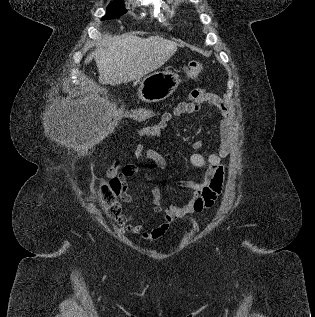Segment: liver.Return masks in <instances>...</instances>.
<instances>
[{
	"label": "liver",
	"instance_id": "6515ba94",
	"mask_svg": "<svg viewBox=\"0 0 315 317\" xmlns=\"http://www.w3.org/2000/svg\"><path fill=\"white\" fill-rule=\"evenodd\" d=\"M105 38L108 46L97 47L84 61L88 64L95 59L99 83L105 85H118L141 79L160 68L175 54L179 46L176 42L159 36L140 38L123 35Z\"/></svg>",
	"mask_w": 315,
	"mask_h": 317
}]
</instances>
